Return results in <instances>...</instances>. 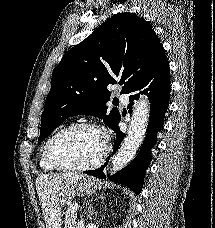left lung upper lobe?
I'll use <instances>...</instances> for the list:
<instances>
[{"label": "left lung upper lobe", "instance_id": "1", "mask_svg": "<svg viewBox=\"0 0 215 228\" xmlns=\"http://www.w3.org/2000/svg\"><path fill=\"white\" fill-rule=\"evenodd\" d=\"M163 48L153 28L134 13L113 15L90 36L68 50L52 73L51 90L41 115L39 141L71 116L104 120L112 130L121 115L108 110L109 84L129 93L145 76Z\"/></svg>", "mask_w": 215, "mask_h": 228}]
</instances>
